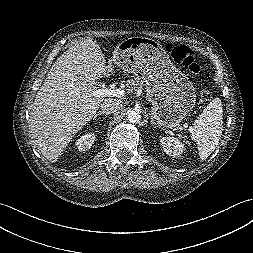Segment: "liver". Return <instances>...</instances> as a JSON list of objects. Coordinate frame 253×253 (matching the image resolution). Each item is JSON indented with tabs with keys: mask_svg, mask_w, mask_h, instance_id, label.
<instances>
[{
	"mask_svg": "<svg viewBox=\"0 0 253 253\" xmlns=\"http://www.w3.org/2000/svg\"><path fill=\"white\" fill-rule=\"evenodd\" d=\"M105 72L104 55L92 38L71 46L52 65L37 92L30 120L32 136L50 162L57 161L107 100L93 95Z\"/></svg>",
	"mask_w": 253,
	"mask_h": 253,
	"instance_id": "obj_1",
	"label": "liver"
}]
</instances>
